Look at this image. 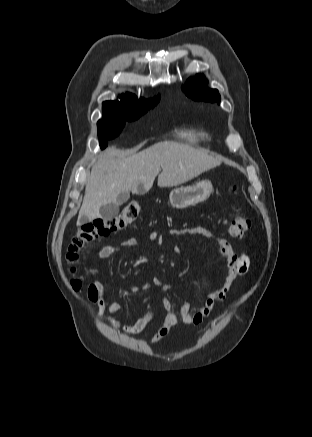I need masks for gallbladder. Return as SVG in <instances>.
<instances>
[{
    "instance_id": "bac80fb5",
    "label": "gallbladder",
    "mask_w": 312,
    "mask_h": 437,
    "mask_svg": "<svg viewBox=\"0 0 312 437\" xmlns=\"http://www.w3.org/2000/svg\"><path fill=\"white\" fill-rule=\"evenodd\" d=\"M130 198L128 191L121 192L115 203H109L100 207V217L103 220H108L115 217L119 213V205L124 204ZM87 222L86 219H81V223Z\"/></svg>"
}]
</instances>
